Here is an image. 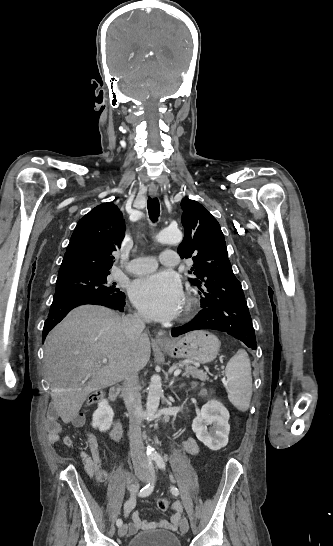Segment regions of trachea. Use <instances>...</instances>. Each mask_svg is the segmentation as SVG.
<instances>
[{
    "label": "trachea",
    "mask_w": 333,
    "mask_h": 546,
    "mask_svg": "<svg viewBox=\"0 0 333 546\" xmlns=\"http://www.w3.org/2000/svg\"><path fill=\"white\" fill-rule=\"evenodd\" d=\"M147 207H148L149 217L151 221L152 222L157 221L159 217V213H160L159 200L157 198L149 197L147 201Z\"/></svg>",
    "instance_id": "3493384b"
}]
</instances>
